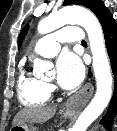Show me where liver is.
<instances>
[{
	"mask_svg": "<svg viewBox=\"0 0 117 131\" xmlns=\"http://www.w3.org/2000/svg\"><path fill=\"white\" fill-rule=\"evenodd\" d=\"M56 113V107H30L17 113L13 119V125H20L26 122L41 123L51 119Z\"/></svg>",
	"mask_w": 117,
	"mask_h": 131,
	"instance_id": "1",
	"label": "liver"
}]
</instances>
